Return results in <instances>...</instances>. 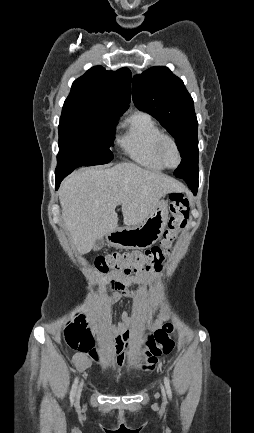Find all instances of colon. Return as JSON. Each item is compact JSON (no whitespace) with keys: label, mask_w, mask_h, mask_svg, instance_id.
Segmentation results:
<instances>
[{"label":"colon","mask_w":254,"mask_h":433,"mask_svg":"<svg viewBox=\"0 0 254 433\" xmlns=\"http://www.w3.org/2000/svg\"><path fill=\"white\" fill-rule=\"evenodd\" d=\"M170 217L160 245L145 251H113L99 256L94 267L99 274L130 275L133 273H152L158 271L170 254L180 232L187 226L190 214V201L182 193H171L169 196ZM174 326L166 322L144 340L142 368L151 371L156 367L161 355L169 354L174 348ZM67 345L84 354H94V343L91 330L84 316L70 324L65 330Z\"/></svg>","instance_id":"5ec220e1"}]
</instances>
